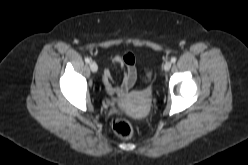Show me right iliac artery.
Here are the masks:
<instances>
[{
    "instance_id": "1",
    "label": "right iliac artery",
    "mask_w": 248,
    "mask_h": 165,
    "mask_svg": "<svg viewBox=\"0 0 248 165\" xmlns=\"http://www.w3.org/2000/svg\"><path fill=\"white\" fill-rule=\"evenodd\" d=\"M85 62L86 63H89L90 62V59L89 58H85Z\"/></svg>"
}]
</instances>
